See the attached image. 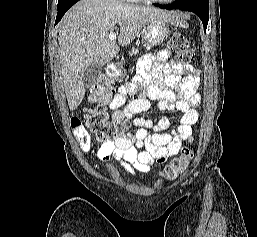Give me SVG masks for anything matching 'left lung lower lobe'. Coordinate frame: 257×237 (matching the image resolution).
Wrapping results in <instances>:
<instances>
[{
  "instance_id": "left-lung-lower-lobe-1",
  "label": "left lung lower lobe",
  "mask_w": 257,
  "mask_h": 237,
  "mask_svg": "<svg viewBox=\"0 0 257 237\" xmlns=\"http://www.w3.org/2000/svg\"><path fill=\"white\" fill-rule=\"evenodd\" d=\"M162 9H180L184 11H190L195 13L202 21L204 26V31L207 28L208 20H209V3H200V2H190L186 4H179L178 2H174L171 5H161L154 4Z\"/></svg>"
}]
</instances>
